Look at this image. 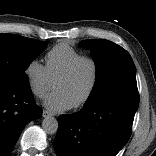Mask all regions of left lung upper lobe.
Listing matches in <instances>:
<instances>
[{
  "label": "left lung upper lobe",
  "mask_w": 156,
  "mask_h": 156,
  "mask_svg": "<svg viewBox=\"0 0 156 156\" xmlns=\"http://www.w3.org/2000/svg\"><path fill=\"white\" fill-rule=\"evenodd\" d=\"M96 64V82L84 105L108 98L139 101L136 70L130 54L121 46L103 39L83 40Z\"/></svg>",
  "instance_id": "left-lung-upper-lobe-1"
}]
</instances>
